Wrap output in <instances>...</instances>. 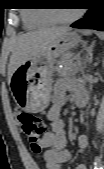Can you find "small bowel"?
Instances as JSON below:
<instances>
[{"instance_id":"obj_1","label":"small bowel","mask_w":104,"mask_h":169,"mask_svg":"<svg viewBox=\"0 0 104 169\" xmlns=\"http://www.w3.org/2000/svg\"><path fill=\"white\" fill-rule=\"evenodd\" d=\"M71 91L74 99L87 96L85 89L74 81H60L53 93L52 106L47 112V120L51 131L46 132L40 140V146L45 148L43 163L45 169H61L62 165L71 160L72 154L66 149L64 122L60 113L66 100V93ZM88 146L84 135L78 138V151L82 153ZM76 169H87L86 165L79 164Z\"/></svg>"}]
</instances>
